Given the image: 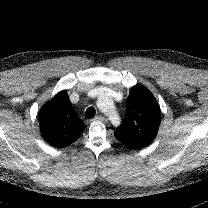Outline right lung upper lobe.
Here are the masks:
<instances>
[{
  "mask_svg": "<svg viewBox=\"0 0 208 208\" xmlns=\"http://www.w3.org/2000/svg\"><path fill=\"white\" fill-rule=\"evenodd\" d=\"M40 132L51 146L63 148L75 142L85 130L65 90L57 93L38 113Z\"/></svg>",
  "mask_w": 208,
  "mask_h": 208,
  "instance_id": "1",
  "label": "right lung upper lobe"
}]
</instances>
